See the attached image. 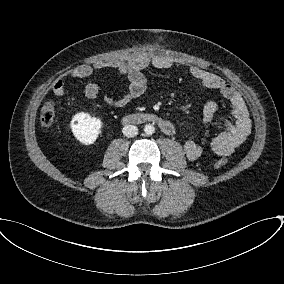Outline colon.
Here are the masks:
<instances>
[{
	"label": "colon",
	"mask_w": 284,
	"mask_h": 284,
	"mask_svg": "<svg viewBox=\"0 0 284 284\" xmlns=\"http://www.w3.org/2000/svg\"><path fill=\"white\" fill-rule=\"evenodd\" d=\"M56 116V109H55V104L52 101L46 102L40 112V122L41 125L49 129L52 124L54 123ZM226 164V159H220L216 162V166L218 168L223 167Z\"/></svg>",
	"instance_id": "obj_1"
}]
</instances>
